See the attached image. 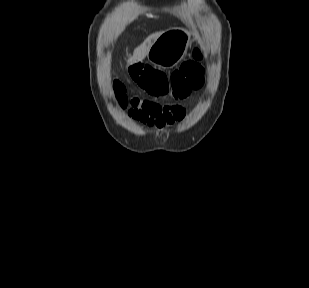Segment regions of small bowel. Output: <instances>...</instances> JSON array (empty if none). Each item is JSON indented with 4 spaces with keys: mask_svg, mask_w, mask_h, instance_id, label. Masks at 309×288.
Wrapping results in <instances>:
<instances>
[{
    "mask_svg": "<svg viewBox=\"0 0 309 288\" xmlns=\"http://www.w3.org/2000/svg\"><path fill=\"white\" fill-rule=\"evenodd\" d=\"M130 107L133 117L158 129L169 127L185 117V110L178 105L160 106L152 101L134 98Z\"/></svg>",
    "mask_w": 309,
    "mask_h": 288,
    "instance_id": "obj_1",
    "label": "small bowel"
}]
</instances>
